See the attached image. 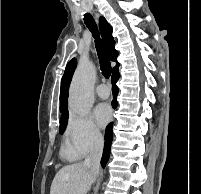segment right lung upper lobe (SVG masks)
Listing matches in <instances>:
<instances>
[{
	"label": "right lung upper lobe",
	"instance_id": "right-lung-upper-lobe-1",
	"mask_svg": "<svg viewBox=\"0 0 201 194\" xmlns=\"http://www.w3.org/2000/svg\"><path fill=\"white\" fill-rule=\"evenodd\" d=\"M99 28L102 35V38L104 40V43L106 45V48L108 50L109 57L111 61H116V58L118 56V52L114 49L115 41L112 36V27L111 25L106 21L104 17H100L99 19ZM77 61L75 58H73L66 66L64 75L61 80V90H60V110L62 112V118L68 117V88L74 73V70L76 68ZM119 63L116 61V66L113 68V71L118 70ZM61 118V119H62Z\"/></svg>",
	"mask_w": 201,
	"mask_h": 194
}]
</instances>
